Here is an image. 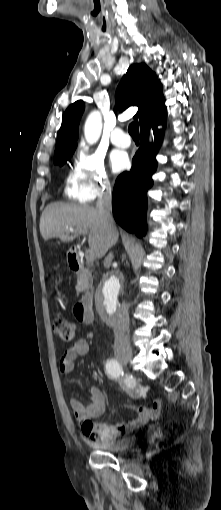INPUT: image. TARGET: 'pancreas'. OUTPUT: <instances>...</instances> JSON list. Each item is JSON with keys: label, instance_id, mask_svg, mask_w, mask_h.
<instances>
[{"label": "pancreas", "instance_id": "pancreas-1", "mask_svg": "<svg viewBox=\"0 0 221 510\" xmlns=\"http://www.w3.org/2000/svg\"><path fill=\"white\" fill-rule=\"evenodd\" d=\"M88 284H89V282H88L86 275L80 274L77 279V286H76L77 291H79V292L84 291L86 289V287L88 286Z\"/></svg>", "mask_w": 221, "mask_h": 510}]
</instances>
